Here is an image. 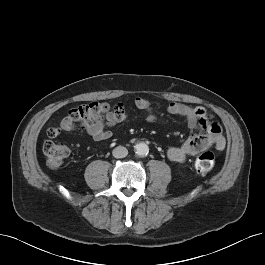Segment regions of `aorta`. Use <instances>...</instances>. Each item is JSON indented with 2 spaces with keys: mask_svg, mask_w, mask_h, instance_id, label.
<instances>
[{
  "mask_svg": "<svg viewBox=\"0 0 265 265\" xmlns=\"http://www.w3.org/2000/svg\"><path fill=\"white\" fill-rule=\"evenodd\" d=\"M135 151L140 156H146L149 152V147L146 143L140 142L135 145Z\"/></svg>",
  "mask_w": 265,
  "mask_h": 265,
  "instance_id": "762f6f07",
  "label": "aorta"
}]
</instances>
